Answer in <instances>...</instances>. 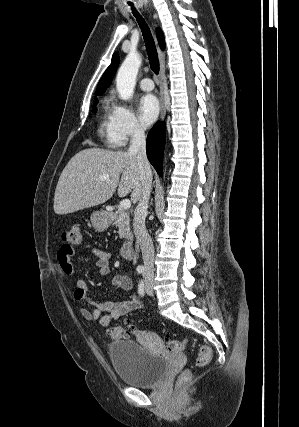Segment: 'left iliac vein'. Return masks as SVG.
Segmentation results:
<instances>
[{"label": "left iliac vein", "instance_id": "left-iliac-vein-1", "mask_svg": "<svg viewBox=\"0 0 299 427\" xmlns=\"http://www.w3.org/2000/svg\"><path fill=\"white\" fill-rule=\"evenodd\" d=\"M145 291L148 295H153V282L151 280H146Z\"/></svg>", "mask_w": 299, "mask_h": 427}]
</instances>
